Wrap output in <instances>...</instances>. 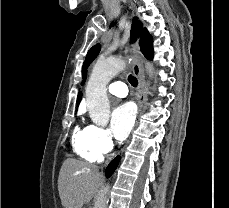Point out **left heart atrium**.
<instances>
[{"label":"left heart atrium","instance_id":"1","mask_svg":"<svg viewBox=\"0 0 229 208\" xmlns=\"http://www.w3.org/2000/svg\"><path fill=\"white\" fill-rule=\"evenodd\" d=\"M135 109L131 103H123L116 107L111 116V126L118 140L125 139L135 122Z\"/></svg>","mask_w":229,"mask_h":208}]
</instances>
